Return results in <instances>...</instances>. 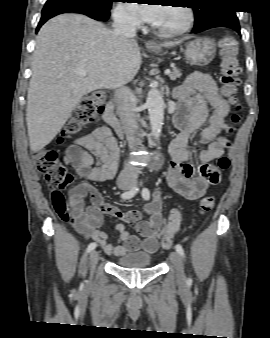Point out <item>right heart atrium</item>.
<instances>
[{
  "instance_id": "right-heart-atrium-1",
  "label": "right heart atrium",
  "mask_w": 270,
  "mask_h": 338,
  "mask_svg": "<svg viewBox=\"0 0 270 338\" xmlns=\"http://www.w3.org/2000/svg\"><path fill=\"white\" fill-rule=\"evenodd\" d=\"M115 19L119 23H122L125 25H129L133 27L139 25V19L132 12V10L125 4H121L115 9Z\"/></svg>"
}]
</instances>
